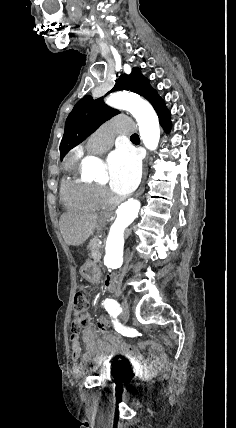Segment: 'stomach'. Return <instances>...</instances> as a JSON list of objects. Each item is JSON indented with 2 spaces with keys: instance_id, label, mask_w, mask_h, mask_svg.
Wrapping results in <instances>:
<instances>
[{
  "instance_id": "stomach-1",
  "label": "stomach",
  "mask_w": 236,
  "mask_h": 428,
  "mask_svg": "<svg viewBox=\"0 0 236 428\" xmlns=\"http://www.w3.org/2000/svg\"><path fill=\"white\" fill-rule=\"evenodd\" d=\"M102 275L99 265L94 264L91 260H87L79 272L80 279H85V282L90 283L93 287L99 285Z\"/></svg>"
}]
</instances>
